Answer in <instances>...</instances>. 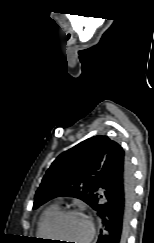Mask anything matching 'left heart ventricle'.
<instances>
[{
	"label": "left heart ventricle",
	"instance_id": "1",
	"mask_svg": "<svg viewBox=\"0 0 154 243\" xmlns=\"http://www.w3.org/2000/svg\"><path fill=\"white\" fill-rule=\"evenodd\" d=\"M88 222L85 218L78 215H71L63 218L57 224L54 235L61 243H67V240H73L74 243H83L88 233Z\"/></svg>",
	"mask_w": 154,
	"mask_h": 243
}]
</instances>
